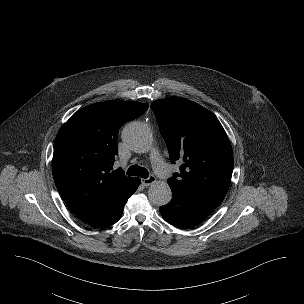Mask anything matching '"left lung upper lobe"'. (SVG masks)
<instances>
[{
    "instance_id": "5c2ea615",
    "label": "left lung upper lobe",
    "mask_w": 304,
    "mask_h": 304,
    "mask_svg": "<svg viewBox=\"0 0 304 304\" xmlns=\"http://www.w3.org/2000/svg\"><path fill=\"white\" fill-rule=\"evenodd\" d=\"M172 163L180 172L168 179L172 192L217 208L228 191L233 152L218 119L206 108L183 98L151 104Z\"/></svg>"
}]
</instances>
